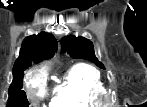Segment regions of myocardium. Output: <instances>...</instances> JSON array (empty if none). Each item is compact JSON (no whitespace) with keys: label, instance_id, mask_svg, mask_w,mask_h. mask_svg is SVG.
<instances>
[{"label":"myocardium","instance_id":"myocardium-1","mask_svg":"<svg viewBox=\"0 0 147 107\" xmlns=\"http://www.w3.org/2000/svg\"><path fill=\"white\" fill-rule=\"evenodd\" d=\"M99 103L105 104L108 102V96L105 92H103L99 98H98Z\"/></svg>","mask_w":147,"mask_h":107}]
</instances>
